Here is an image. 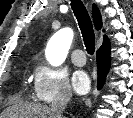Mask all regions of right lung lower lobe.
Returning a JSON list of instances; mask_svg holds the SVG:
<instances>
[{
	"instance_id": "1",
	"label": "right lung lower lobe",
	"mask_w": 133,
	"mask_h": 118,
	"mask_svg": "<svg viewBox=\"0 0 133 118\" xmlns=\"http://www.w3.org/2000/svg\"><path fill=\"white\" fill-rule=\"evenodd\" d=\"M110 66V44L109 41L102 44L97 51V89H101L103 86L106 75L109 71Z\"/></svg>"
}]
</instances>
